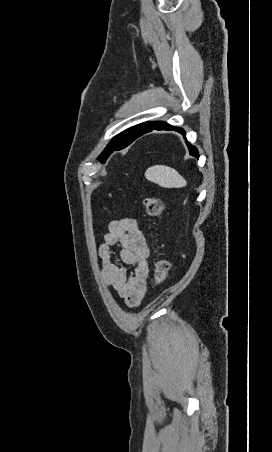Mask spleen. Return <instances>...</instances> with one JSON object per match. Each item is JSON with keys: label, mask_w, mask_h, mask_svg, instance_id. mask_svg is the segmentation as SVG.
<instances>
[{"label": "spleen", "mask_w": 272, "mask_h": 452, "mask_svg": "<svg viewBox=\"0 0 272 452\" xmlns=\"http://www.w3.org/2000/svg\"><path fill=\"white\" fill-rule=\"evenodd\" d=\"M147 180L165 188H181L186 186V180L173 168L165 165H155L145 172Z\"/></svg>", "instance_id": "3e777b00"}]
</instances>
